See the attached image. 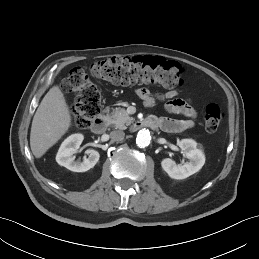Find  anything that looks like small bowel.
Instances as JSON below:
<instances>
[{"mask_svg":"<svg viewBox=\"0 0 259 259\" xmlns=\"http://www.w3.org/2000/svg\"><path fill=\"white\" fill-rule=\"evenodd\" d=\"M136 94L148 108L154 107L156 99H166L165 109L167 112L186 117L185 119L154 118L158 120L161 129L165 131H181L194 126L197 113L188 101L178 98L179 93L177 90L153 94L146 88H138Z\"/></svg>","mask_w":259,"mask_h":259,"instance_id":"1","label":"small bowel"}]
</instances>
